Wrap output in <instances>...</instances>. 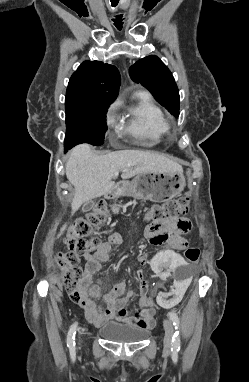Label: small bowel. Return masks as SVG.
<instances>
[{"label":"small bowel","mask_w":249,"mask_h":382,"mask_svg":"<svg viewBox=\"0 0 249 382\" xmlns=\"http://www.w3.org/2000/svg\"><path fill=\"white\" fill-rule=\"evenodd\" d=\"M191 227V221L187 217L168 216L147 227L143 233L152 245L158 246L160 250H166L167 244L174 250H181L186 246L183 235L187 234ZM121 243L122 236L116 232L111 233L95 251L83 256L86 263L82 289L84 297L78 304L84 309L86 318L95 326L117 320L150 329L154 326L155 303L147 294L141 295L140 309L129 313L126 305L134 296V289L127 290L123 281L107 287L103 282L94 279V274L101 269V264L109 260L112 248ZM144 260H146V253L140 252L138 261L141 263ZM144 283L142 282V285ZM96 300L100 301L104 307H101Z\"/></svg>","instance_id":"small-bowel-1"}]
</instances>
